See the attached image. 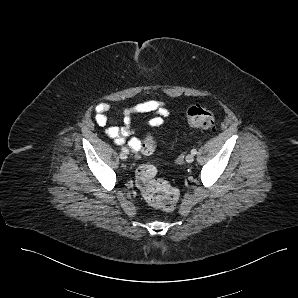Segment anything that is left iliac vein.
<instances>
[{
  "instance_id": "4c4485c4",
  "label": "left iliac vein",
  "mask_w": 298,
  "mask_h": 298,
  "mask_svg": "<svg viewBox=\"0 0 298 298\" xmlns=\"http://www.w3.org/2000/svg\"><path fill=\"white\" fill-rule=\"evenodd\" d=\"M187 163H192L194 161V155L193 154H188L185 158Z\"/></svg>"
}]
</instances>
